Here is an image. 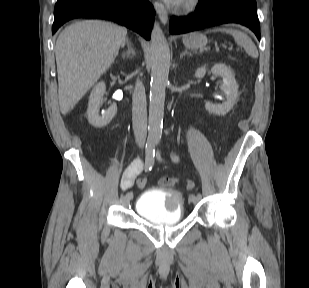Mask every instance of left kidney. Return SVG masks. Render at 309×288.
<instances>
[{"mask_svg": "<svg viewBox=\"0 0 309 288\" xmlns=\"http://www.w3.org/2000/svg\"><path fill=\"white\" fill-rule=\"evenodd\" d=\"M211 72L214 75L221 76L223 79V84L220 88L225 94V101L222 104H213L211 102H207L205 104V109L208 112L214 113L216 115H225L233 108L236 102V98L238 95V85L231 69L225 64H215L211 68ZM205 73L206 68L201 67L196 70L195 77L202 78Z\"/></svg>", "mask_w": 309, "mask_h": 288, "instance_id": "left-kidney-1", "label": "left kidney"}]
</instances>
